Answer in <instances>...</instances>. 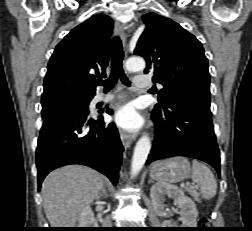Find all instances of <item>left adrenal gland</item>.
<instances>
[{
    "label": "left adrenal gland",
    "instance_id": "left-adrenal-gland-1",
    "mask_svg": "<svg viewBox=\"0 0 252 231\" xmlns=\"http://www.w3.org/2000/svg\"><path fill=\"white\" fill-rule=\"evenodd\" d=\"M153 181L151 180V179H149V181H148V183L150 184V183H152Z\"/></svg>",
    "mask_w": 252,
    "mask_h": 231
}]
</instances>
